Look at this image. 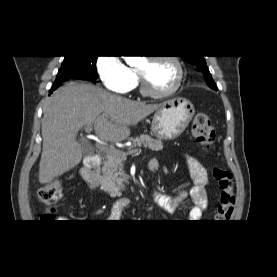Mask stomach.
I'll list each match as a JSON object with an SVG mask.
<instances>
[{
	"label": "stomach",
	"instance_id": "stomach-1",
	"mask_svg": "<svg viewBox=\"0 0 277 277\" xmlns=\"http://www.w3.org/2000/svg\"><path fill=\"white\" fill-rule=\"evenodd\" d=\"M195 114L193 104L181 97L163 102L156 110L151 124L152 134L159 140L178 138Z\"/></svg>",
	"mask_w": 277,
	"mask_h": 277
}]
</instances>
